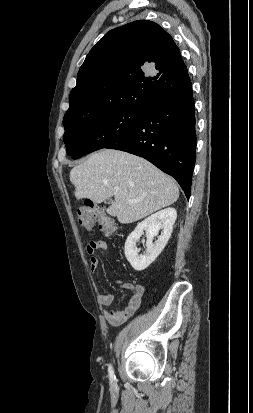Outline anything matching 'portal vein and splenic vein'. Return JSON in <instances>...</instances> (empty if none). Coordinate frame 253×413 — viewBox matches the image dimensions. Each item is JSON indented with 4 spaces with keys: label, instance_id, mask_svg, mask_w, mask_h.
<instances>
[{
    "label": "portal vein and splenic vein",
    "instance_id": "portal-vein-and-splenic-vein-1",
    "mask_svg": "<svg viewBox=\"0 0 253 413\" xmlns=\"http://www.w3.org/2000/svg\"><path fill=\"white\" fill-rule=\"evenodd\" d=\"M114 191H115V193H117V192H118V188H116ZM128 202H129V203H132V204H135V203H136V201H133V200H129Z\"/></svg>",
    "mask_w": 253,
    "mask_h": 413
}]
</instances>
